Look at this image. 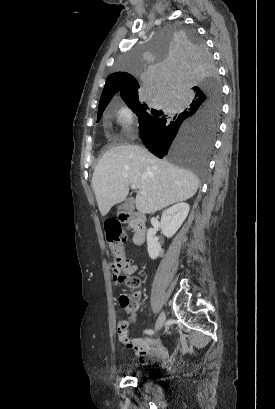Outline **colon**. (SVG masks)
I'll return each instance as SVG.
<instances>
[{
    "label": "colon",
    "instance_id": "colon-1",
    "mask_svg": "<svg viewBox=\"0 0 275 409\" xmlns=\"http://www.w3.org/2000/svg\"><path fill=\"white\" fill-rule=\"evenodd\" d=\"M104 235L111 252L118 257L117 261L110 263V268L113 270V273L115 275L128 274L129 268L125 267V265H129L131 259L129 256H122L125 246V236L120 222L115 219L107 221L104 225ZM121 283L130 289H136L140 281L133 276H122ZM120 302L122 307L132 314L134 311H139L141 298L137 293L123 294L120 296Z\"/></svg>",
    "mask_w": 275,
    "mask_h": 409
}]
</instances>
